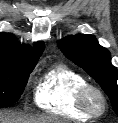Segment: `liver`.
<instances>
[{
  "mask_svg": "<svg viewBox=\"0 0 118 123\" xmlns=\"http://www.w3.org/2000/svg\"><path fill=\"white\" fill-rule=\"evenodd\" d=\"M0 123H69L48 114L23 115L15 112H0Z\"/></svg>",
  "mask_w": 118,
  "mask_h": 123,
  "instance_id": "6515ba94",
  "label": "liver"
}]
</instances>
